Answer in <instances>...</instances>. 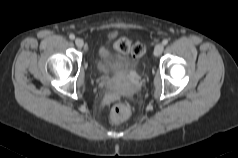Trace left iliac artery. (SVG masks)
<instances>
[{
    "instance_id": "1",
    "label": "left iliac artery",
    "mask_w": 238,
    "mask_h": 158,
    "mask_svg": "<svg viewBox=\"0 0 238 158\" xmlns=\"http://www.w3.org/2000/svg\"><path fill=\"white\" fill-rule=\"evenodd\" d=\"M162 43H163V45H167L168 44V39H164Z\"/></svg>"
}]
</instances>
